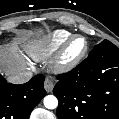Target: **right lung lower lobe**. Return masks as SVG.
I'll return each mask as SVG.
<instances>
[{
    "label": "right lung lower lobe",
    "mask_w": 119,
    "mask_h": 119,
    "mask_svg": "<svg viewBox=\"0 0 119 119\" xmlns=\"http://www.w3.org/2000/svg\"><path fill=\"white\" fill-rule=\"evenodd\" d=\"M44 80L39 74L25 84L13 85L0 75V119H29L34 107L46 95Z\"/></svg>",
    "instance_id": "1"
}]
</instances>
